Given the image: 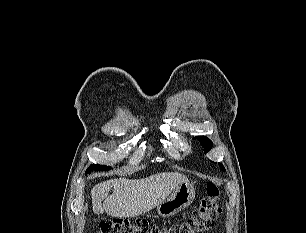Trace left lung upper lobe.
I'll use <instances>...</instances> for the list:
<instances>
[{
  "label": "left lung upper lobe",
  "instance_id": "1",
  "mask_svg": "<svg viewBox=\"0 0 306 233\" xmlns=\"http://www.w3.org/2000/svg\"><path fill=\"white\" fill-rule=\"evenodd\" d=\"M197 138L200 141L203 148L205 149V153H207L213 146L212 141L209 140L207 137H204V136H198ZM219 165L223 170H225L224 166L221 163H219Z\"/></svg>",
  "mask_w": 306,
  "mask_h": 233
}]
</instances>
